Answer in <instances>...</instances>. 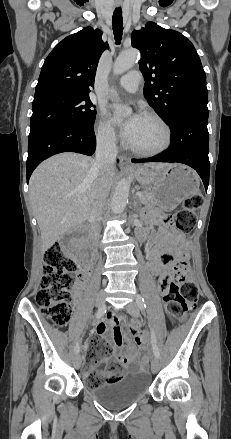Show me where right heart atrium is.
I'll return each mask as SVG.
<instances>
[{
  "label": "right heart atrium",
  "mask_w": 231,
  "mask_h": 439,
  "mask_svg": "<svg viewBox=\"0 0 231 439\" xmlns=\"http://www.w3.org/2000/svg\"><path fill=\"white\" fill-rule=\"evenodd\" d=\"M95 136L97 142L103 147L113 148L117 143V135L111 124L105 119L104 115L101 114L96 126H95Z\"/></svg>",
  "instance_id": "1"
}]
</instances>
